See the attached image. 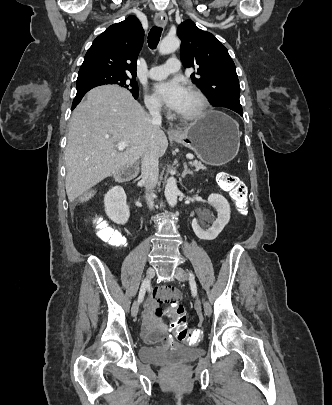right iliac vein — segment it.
I'll return each mask as SVG.
<instances>
[{
    "label": "right iliac vein",
    "instance_id": "1",
    "mask_svg": "<svg viewBox=\"0 0 332 405\" xmlns=\"http://www.w3.org/2000/svg\"><path fill=\"white\" fill-rule=\"evenodd\" d=\"M154 274H155V269L153 267H150L146 272V279L150 280L154 276ZM138 310H139V302H138V300H136L134 302V304L132 305L131 315L133 317H136L138 314Z\"/></svg>",
    "mask_w": 332,
    "mask_h": 405
}]
</instances>
